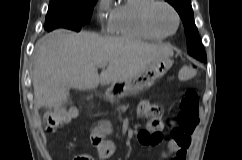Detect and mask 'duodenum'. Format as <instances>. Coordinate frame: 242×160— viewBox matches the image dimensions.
Masks as SVG:
<instances>
[{
  "label": "duodenum",
  "instance_id": "410a0bca",
  "mask_svg": "<svg viewBox=\"0 0 242 160\" xmlns=\"http://www.w3.org/2000/svg\"><path fill=\"white\" fill-rule=\"evenodd\" d=\"M101 129V126H96L95 130Z\"/></svg>",
  "mask_w": 242,
  "mask_h": 160
}]
</instances>
